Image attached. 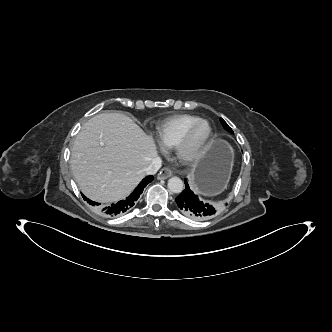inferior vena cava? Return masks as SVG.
Here are the masks:
<instances>
[{"mask_svg": "<svg viewBox=\"0 0 332 332\" xmlns=\"http://www.w3.org/2000/svg\"><path fill=\"white\" fill-rule=\"evenodd\" d=\"M162 160L156 156L152 159L151 163L144 169L147 175H154L161 168Z\"/></svg>", "mask_w": 332, "mask_h": 332, "instance_id": "inferior-vena-cava-1", "label": "inferior vena cava"}]
</instances>
